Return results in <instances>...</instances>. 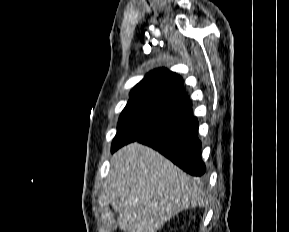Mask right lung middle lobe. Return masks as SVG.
Listing matches in <instances>:
<instances>
[{
  "label": "right lung middle lobe",
  "mask_w": 289,
  "mask_h": 232,
  "mask_svg": "<svg viewBox=\"0 0 289 232\" xmlns=\"http://www.w3.org/2000/svg\"><path fill=\"white\" fill-rule=\"evenodd\" d=\"M184 113L146 102L129 101L122 111L111 151L179 119Z\"/></svg>",
  "instance_id": "1"
}]
</instances>
